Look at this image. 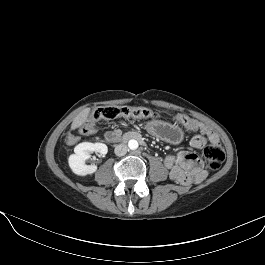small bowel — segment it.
<instances>
[{
	"mask_svg": "<svg viewBox=\"0 0 265 265\" xmlns=\"http://www.w3.org/2000/svg\"><path fill=\"white\" fill-rule=\"evenodd\" d=\"M194 122V127H186L199 133L190 141L193 148L201 149L207 142L219 140L217 133L211 127L197 120H194ZM120 123L125 126V120L122 119ZM120 133L118 128L112 126L105 131L104 137L108 142H115L119 139ZM164 165L169 170L170 178L181 185L199 184L207 177V171L202 161L193 152L179 151L169 154L164 159Z\"/></svg>",
	"mask_w": 265,
	"mask_h": 265,
	"instance_id": "1",
	"label": "small bowel"
}]
</instances>
